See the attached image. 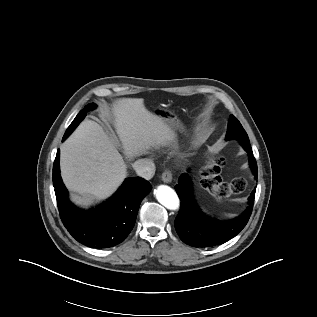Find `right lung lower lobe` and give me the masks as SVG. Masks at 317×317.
<instances>
[{
	"mask_svg": "<svg viewBox=\"0 0 317 317\" xmlns=\"http://www.w3.org/2000/svg\"><path fill=\"white\" fill-rule=\"evenodd\" d=\"M59 155L58 150L53 165V186L66 229L78 242L92 248H109L123 242L134 227L142 199L151 190L150 183L140 177L128 178L107 202L83 211L68 199L60 176Z\"/></svg>",
	"mask_w": 317,
	"mask_h": 317,
	"instance_id": "right-lung-lower-lobe-1",
	"label": "right lung lower lobe"
}]
</instances>
